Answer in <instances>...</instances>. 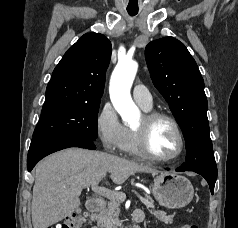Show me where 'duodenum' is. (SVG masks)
I'll return each mask as SVG.
<instances>
[{
	"label": "duodenum",
	"mask_w": 238,
	"mask_h": 228,
	"mask_svg": "<svg viewBox=\"0 0 238 228\" xmlns=\"http://www.w3.org/2000/svg\"><path fill=\"white\" fill-rule=\"evenodd\" d=\"M105 207V201L101 198H93L88 201L87 209L92 220H96L101 215ZM144 219L142 210H134L131 214V220L134 224L141 222ZM133 228H136L134 225Z\"/></svg>",
	"instance_id": "410a0bca"
}]
</instances>
